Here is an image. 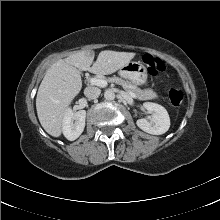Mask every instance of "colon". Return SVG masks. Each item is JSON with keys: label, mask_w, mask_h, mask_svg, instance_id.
<instances>
[{"label": "colon", "mask_w": 220, "mask_h": 220, "mask_svg": "<svg viewBox=\"0 0 220 220\" xmlns=\"http://www.w3.org/2000/svg\"><path fill=\"white\" fill-rule=\"evenodd\" d=\"M143 63L146 66L148 72L151 75H157L164 71L165 65L163 61L151 54H146L143 57ZM168 99L172 106L178 107L184 99V92L181 88L174 87L171 88L168 92Z\"/></svg>", "instance_id": "5ec220e1"}]
</instances>
